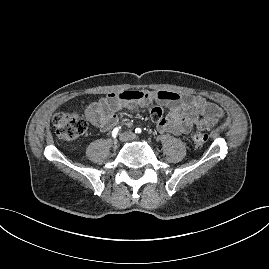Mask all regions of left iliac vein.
<instances>
[{
	"mask_svg": "<svg viewBox=\"0 0 269 269\" xmlns=\"http://www.w3.org/2000/svg\"><path fill=\"white\" fill-rule=\"evenodd\" d=\"M123 135H124V136L126 137V139H128V140H135V139L137 138L136 134L133 133V132H126V133H124Z\"/></svg>",
	"mask_w": 269,
	"mask_h": 269,
	"instance_id": "obj_1",
	"label": "left iliac vein"
}]
</instances>
